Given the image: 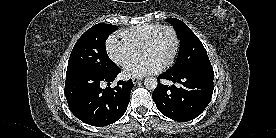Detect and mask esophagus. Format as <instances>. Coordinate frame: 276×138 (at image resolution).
Instances as JSON below:
<instances>
[{
    "instance_id": "esophagus-1",
    "label": "esophagus",
    "mask_w": 276,
    "mask_h": 138,
    "mask_svg": "<svg viewBox=\"0 0 276 138\" xmlns=\"http://www.w3.org/2000/svg\"><path fill=\"white\" fill-rule=\"evenodd\" d=\"M141 79L140 78H132V82L134 84L138 83Z\"/></svg>"
}]
</instances>
